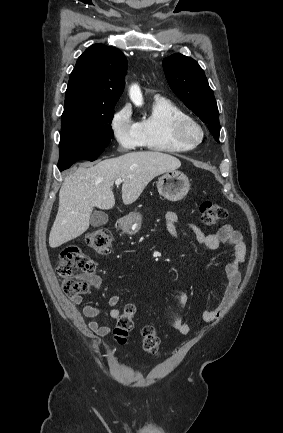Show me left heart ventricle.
Wrapping results in <instances>:
<instances>
[{"label": "left heart ventricle", "mask_w": 283, "mask_h": 433, "mask_svg": "<svg viewBox=\"0 0 283 433\" xmlns=\"http://www.w3.org/2000/svg\"><path fill=\"white\" fill-rule=\"evenodd\" d=\"M198 136H199L198 131L192 126L188 127L184 132V138L188 142H193L198 138Z\"/></svg>", "instance_id": "1"}]
</instances>
